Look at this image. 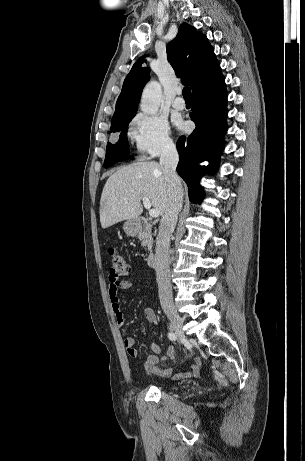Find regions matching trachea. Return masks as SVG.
Here are the masks:
<instances>
[{"mask_svg": "<svg viewBox=\"0 0 305 461\" xmlns=\"http://www.w3.org/2000/svg\"><path fill=\"white\" fill-rule=\"evenodd\" d=\"M183 96H184V99H192L191 90L188 86H185L183 88Z\"/></svg>", "mask_w": 305, "mask_h": 461, "instance_id": "obj_1", "label": "trachea"}]
</instances>
